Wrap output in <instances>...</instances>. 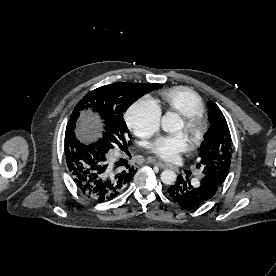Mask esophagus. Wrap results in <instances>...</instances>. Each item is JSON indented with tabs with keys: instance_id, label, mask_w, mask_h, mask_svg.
Instances as JSON below:
<instances>
[{
	"instance_id": "1",
	"label": "esophagus",
	"mask_w": 276,
	"mask_h": 276,
	"mask_svg": "<svg viewBox=\"0 0 276 276\" xmlns=\"http://www.w3.org/2000/svg\"><path fill=\"white\" fill-rule=\"evenodd\" d=\"M148 163H153V164H156L157 166H159L161 169H165V168H168L170 165L169 164H166L164 162H161V161H157L155 159H148L147 160Z\"/></svg>"
}]
</instances>
